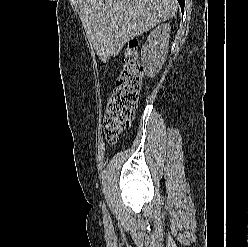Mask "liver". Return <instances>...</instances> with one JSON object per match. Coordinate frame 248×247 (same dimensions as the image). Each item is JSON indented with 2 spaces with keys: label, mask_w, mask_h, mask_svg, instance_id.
I'll return each instance as SVG.
<instances>
[{
  "label": "liver",
  "mask_w": 248,
  "mask_h": 247,
  "mask_svg": "<svg viewBox=\"0 0 248 247\" xmlns=\"http://www.w3.org/2000/svg\"><path fill=\"white\" fill-rule=\"evenodd\" d=\"M79 16L103 62L134 37L173 17L176 0H77Z\"/></svg>",
  "instance_id": "6515ba94"
}]
</instances>
